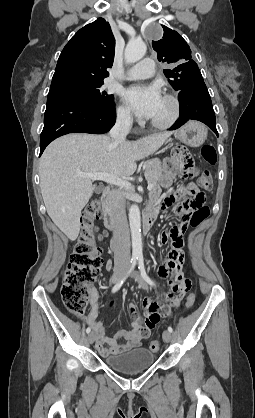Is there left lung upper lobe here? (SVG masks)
Returning a JSON list of instances; mask_svg holds the SVG:
<instances>
[{"mask_svg": "<svg viewBox=\"0 0 255 418\" xmlns=\"http://www.w3.org/2000/svg\"><path fill=\"white\" fill-rule=\"evenodd\" d=\"M163 38L152 41L153 49L157 52L160 62L171 65L163 70L170 84L175 90L181 91L200 81H203L198 65L192 60L191 50L180 34L163 26Z\"/></svg>", "mask_w": 255, "mask_h": 418, "instance_id": "left-lung-upper-lobe-1", "label": "left lung upper lobe"}]
</instances>
